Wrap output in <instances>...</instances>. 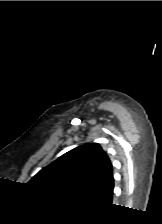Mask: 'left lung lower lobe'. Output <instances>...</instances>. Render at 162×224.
<instances>
[{
	"instance_id": "obj_1",
	"label": "left lung lower lobe",
	"mask_w": 162,
	"mask_h": 224,
	"mask_svg": "<svg viewBox=\"0 0 162 224\" xmlns=\"http://www.w3.org/2000/svg\"><path fill=\"white\" fill-rule=\"evenodd\" d=\"M113 175L109 177L105 183L95 192L90 194L86 199L92 202L111 205L113 198Z\"/></svg>"
}]
</instances>
